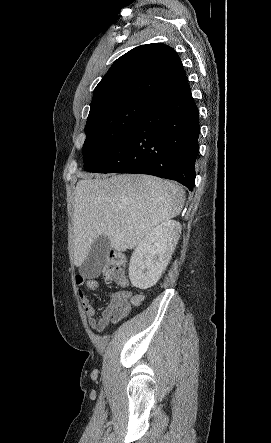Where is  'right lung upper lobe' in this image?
Segmentation results:
<instances>
[{"label": "right lung upper lobe", "instance_id": "cb5924a9", "mask_svg": "<svg viewBox=\"0 0 271 443\" xmlns=\"http://www.w3.org/2000/svg\"><path fill=\"white\" fill-rule=\"evenodd\" d=\"M188 89L182 62L174 49L160 43L141 45L112 64L94 90L90 113L108 102L144 99L153 103Z\"/></svg>", "mask_w": 271, "mask_h": 443}]
</instances>
